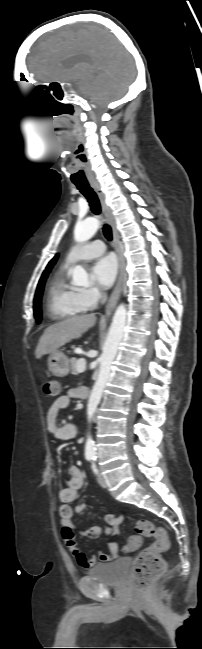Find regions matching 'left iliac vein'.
Wrapping results in <instances>:
<instances>
[{"instance_id":"obj_1","label":"left iliac vein","mask_w":202,"mask_h":649,"mask_svg":"<svg viewBox=\"0 0 202 649\" xmlns=\"http://www.w3.org/2000/svg\"><path fill=\"white\" fill-rule=\"evenodd\" d=\"M97 480H98V483H99V485H100L101 487H103V488H106V487H107L106 480H105V478H104L102 475H98Z\"/></svg>"}]
</instances>
